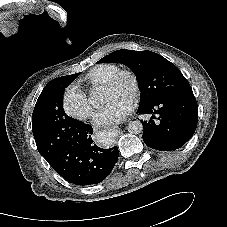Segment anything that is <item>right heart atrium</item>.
<instances>
[{
	"label": "right heart atrium",
	"instance_id": "obj_1",
	"mask_svg": "<svg viewBox=\"0 0 227 227\" xmlns=\"http://www.w3.org/2000/svg\"><path fill=\"white\" fill-rule=\"evenodd\" d=\"M62 106L67 115L80 121L90 119L95 114L87 94L76 86H69L64 91Z\"/></svg>",
	"mask_w": 227,
	"mask_h": 227
}]
</instances>
